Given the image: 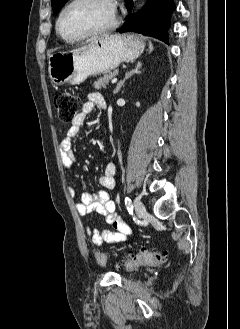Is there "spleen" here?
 Wrapping results in <instances>:
<instances>
[{"mask_svg": "<svg viewBox=\"0 0 240 329\" xmlns=\"http://www.w3.org/2000/svg\"><path fill=\"white\" fill-rule=\"evenodd\" d=\"M153 50V46H152V44L150 43V45H149V51L151 52Z\"/></svg>", "mask_w": 240, "mask_h": 329, "instance_id": "obj_1", "label": "spleen"}]
</instances>
